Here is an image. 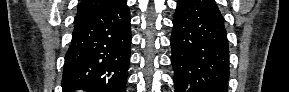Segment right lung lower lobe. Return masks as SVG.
Masks as SVG:
<instances>
[{
    "mask_svg": "<svg viewBox=\"0 0 289 92\" xmlns=\"http://www.w3.org/2000/svg\"><path fill=\"white\" fill-rule=\"evenodd\" d=\"M126 0L84 13L74 21L65 56L63 92H125L131 24Z\"/></svg>",
    "mask_w": 289,
    "mask_h": 92,
    "instance_id": "right-lung-lower-lobe-1",
    "label": "right lung lower lobe"
}]
</instances>
